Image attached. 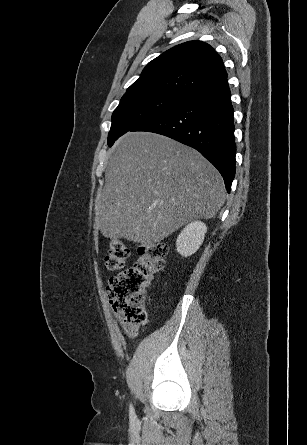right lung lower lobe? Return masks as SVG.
Returning <instances> with one entry per match:
<instances>
[{
    "label": "right lung lower lobe",
    "mask_w": 307,
    "mask_h": 445,
    "mask_svg": "<svg viewBox=\"0 0 307 445\" xmlns=\"http://www.w3.org/2000/svg\"><path fill=\"white\" fill-rule=\"evenodd\" d=\"M130 131L158 133L195 148L219 170L230 192L236 145L227 78Z\"/></svg>",
    "instance_id": "1"
}]
</instances>
